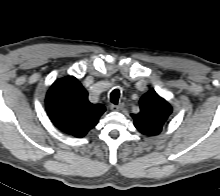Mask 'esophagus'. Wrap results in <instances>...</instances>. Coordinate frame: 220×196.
Here are the masks:
<instances>
[{
	"instance_id": "34e87169",
	"label": "esophagus",
	"mask_w": 220,
	"mask_h": 196,
	"mask_svg": "<svg viewBox=\"0 0 220 196\" xmlns=\"http://www.w3.org/2000/svg\"><path fill=\"white\" fill-rule=\"evenodd\" d=\"M110 108L113 111H120L123 109V104H118V105L112 104V105H110Z\"/></svg>"
}]
</instances>
